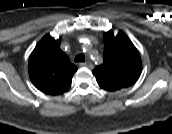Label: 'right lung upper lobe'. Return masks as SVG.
Masks as SVG:
<instances>
[{
    "label": "right lung upper lobe",
    "mask_w": 172,
    "mask_h": 134,
    "mask_svg": "<svg viewBox=\"0 0 172 134\" xmlns=\"http://www.w3.org/2000/svg\"><path fill=\"white\" fill-rule=\"evenodd\" d=\"M28 70L37 89L46 94L58 95L70 88L77 67L60 49V39L55 40L46 34L31 53Z\"/></svg>",
    "instance_id": "right-lung-upper-lobe-1"
}]
</instances>
